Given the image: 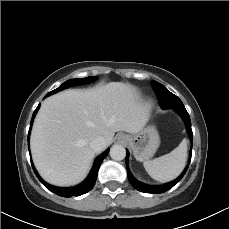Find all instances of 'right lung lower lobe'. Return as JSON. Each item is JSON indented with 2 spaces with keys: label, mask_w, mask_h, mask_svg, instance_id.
<instances>
[{
  "label": "right lung lower lobe",
  "mask_w": 229,
  "mask_h": 229,
  "mask_svg": "<svg viewBox=\"0 0 229 229\" xmlns=\"http://www.w3.org/2000/svg\"><path fill=\"white\" fill-rule=\"evenodd\" d=\"M49 95H46L45 97H47ZM40 104L38 105V107L36 108V110L33 113L32 119H31V124L33 122L34 116L39 108ZM30 133V130H29ZM109 152V149H107L104 153H102L100 156H98L94 162L93 168L91 169L90 174L88 175V177L86 178V180L84 182H82L81 184L75 186V187H69V188H60V187H55L52 185L47 184L45 181H43L41 179V177L38 175V173L36 172L32 162V168L34 170V173L36 174V176L38 177V179L41 181V183L51 192L58 194L59 196L62 197H71V196H80L82 194L87 193L88 191H90L95 182H96V178H97V174H98V170L99 167L103 161V159L107 156Z\"/></svg>",
  "instance_id": "obj_1"
}]
</instances>
